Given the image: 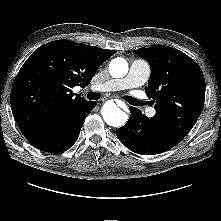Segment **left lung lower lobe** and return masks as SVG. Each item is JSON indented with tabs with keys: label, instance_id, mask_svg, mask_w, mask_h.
<instances>
[{
	"label": "left lung lower lobe",
	"instance_id": "obj_1",
	"mask_svg": "<svg viewBox=\"0 0 221 221\" xmlns=\"http://www.w3.org/2000/svg\"><path fill=\"white\" fill-rule=\"evenodd\" d=\"M130 118L126 125L116 130V135L129 150L154 155L165 152L178 143L172 142L163 128L135 107H130Z\"/></svg>",
	"mask_w": 221,
	"mask_h": 221
}]
</instances>
